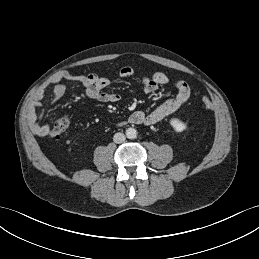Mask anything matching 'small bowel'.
<instances>
[{"label":"small bowel","instance_id":"c3829d8e","mask_svg":"<svg viewBox=\"0 0 259 259\" xmlns=\"http://www.w3.org/2000/svg\"><path fill=\"white\" fill-rule=\"evenodd\" d=\"M133 74L134 70L130 66H125L120 71V75L123 78H130ZM60 79L82 85L85 95L89 99L104 103H115L121 100L120 94L105 91L111 83L110 79L105 76L97 74L75 75L65 71L58 76L57 80ZM170 84V77L163 72H155L151 76H147L142 79V86L146 93H154L160 87ZM172 85L176 92L172 98L165 101L162 105L150 113H145L142 111L134 112L131 116L132 122L136 124L153 125L161 122L166 117L180 109L190 97V87L184 81H176ZM65 92V85L60 83L56 84L53 87V102L59 101L64 96ZM43 95V90L36 92L34 101L27 115L28 126L31 132L37 136H47L50 133V126L48 124L40 123V119L44 113V110L41 108V99L43 98Z\"/></svg>","mask_w":259,"mask_h":259}]
</instances>
